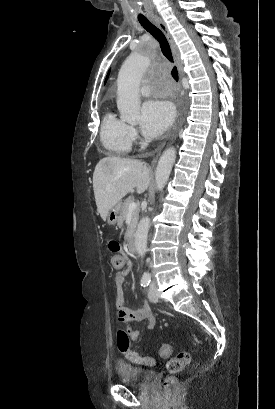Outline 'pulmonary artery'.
<instances>
[{"instance_id":"obj_1","label":"pulmonary artery","mask_w":275,"mask_h":409,"mask_svg":"<svg viewBox=\"0 0 275 409\" xmlns=\"http://www.w3.org/2000/svg\"><path fill=\"white\" fill-rule=\"evenodd\" d=\"M142 91H143L144 96H148L151 93V87L150 86H144L142 88Z\"/></svg>"}]
</instances>
